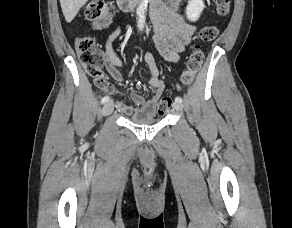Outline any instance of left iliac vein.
<instances>
[{
    "label": "left iliac vein",
    "instance_id": "4c4485c4",
    "mask_svg": "<svg viewBox=\"0 0 292 228\" xmlns=\"http://www.w3.org/2000/svg\"><path fill=\"white\" fill-rule=\"evenodd\" d=\"M173 108L176 111H182L183 110V104L181 102H174Z\"/></svg>",
    "mask_w": 292,
    "mask_h": 228
}]
</instances>
